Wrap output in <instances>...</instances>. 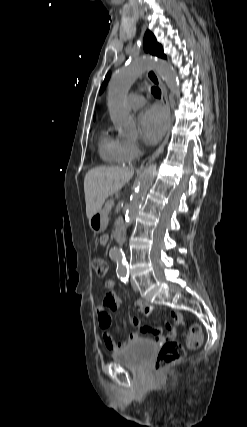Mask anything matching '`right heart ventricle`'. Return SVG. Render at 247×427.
Here are the masks:
<instances>
[{"label":"right heart ventricle","instance_id":"1","mask_svg":"<svg viewBox=\"0 0 247 427\" xmlns=\"http://www.w3.org/2000/svg\"><path fill=\"white\" fill-rule=\"evenodd\" d=\"M101 158L111 164H122L129 160L126 151V140L104 131L99 140Z\"/></svg>","mask_w":247,"mask_h":427}]
</instances>
